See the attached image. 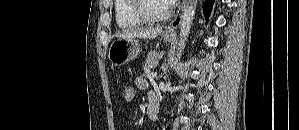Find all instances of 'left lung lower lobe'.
Listing matches in <instances>:
<instances>
[{
	"label": "left lung lower lobe",
	"instance_id": "0a47b994",
	"mask_svg": "<svg viewBox=\"0 0 299 130\" xmlns=\"http://www.w3.org/2000/svg\"><path fill=\"white\" fill-rule=\"evenodd\" d=\"M214 0H207L204 6L205 15L207 17V20L209 18L212 6H213Z\"/></svg>",
	"mask_w": 299,
	"mask_h": 130
}]
</instances>
